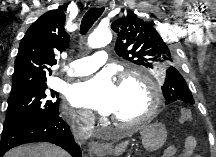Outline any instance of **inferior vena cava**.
<instances>
[{"instance_id": "602c4592", "label": "inferior vena cava", "mask_w": 216, "mask_h": 157, "mask_svg": "<svg viewBox=\"0 0 216 157\" xmlns=\"http://www.w3.org/2000/svg\"><path fill=\"white\" fill-rule=\"evenodd\" d=\"M75 138H76V140L78 141V143L80 144V142H82L84 139L87 138V135L84 134V133H82V132H77V133L75 134Z\"/></svg>"}]
</instances>
